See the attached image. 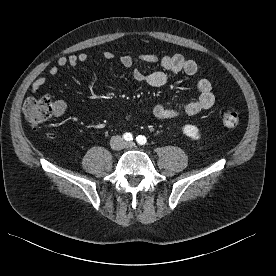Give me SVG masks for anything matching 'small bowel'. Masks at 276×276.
Here are the masks:
<instances>
[{"instance_id":"1","label":"small bowel","mask_w":276,"mask_h":276,"mask_svg":"<svg viewBox=\"0 0 276 276\" xmlns=\"http://www.w3.org/2000/svg\"><path fill=\"white\" fill-rule=\"evenodd\" d=\"M103 58L107 61L114 59L115 55L112 51H104ZM89 59L88 54L78 53L70 54L69 56H61L57 59V65H53L49 68L48 72L51 76H57L60 68L71 66L76 67L79 64L87 62ZM120 64L126 68H130L137 63H159L163 70H157L148 74L143 73L138 69H134L132 76L135 81L145 83L151 87H162L168 81L167 72L172 74H186L188 76H194L198 72V65L192 59H187L180 54L165 55L162 57L156 54L147 53L133 57L131 55H122L119 59ZM45 78H37L31 87V92L36 94L45 85ZM196 88L198 92L197 99L187 103L183 107L177 106H164L161 104L155 105L151 112L160 120H176L183 115H196L202 110L210 108L215 102V96L212 91V85L207 79H199L196 82ZM66 110V103L62 100L54 102V111L56 114H62ZM130 116H126L128 119Z\"/></svg>"}]
</instances>
